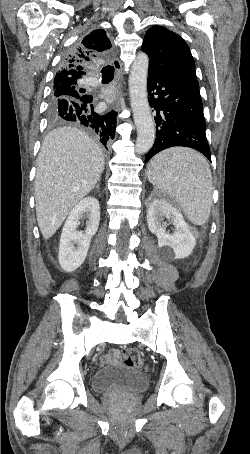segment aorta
<instances>
[{"mask_svg": "<svg viewBox=\"0 0 250 454\" xmlns=\"http://www.w3.org/2000/svg\"><path fill=\"white\" fill-rule=\"evenodd\" d=\"M149 58L139 53L134 60L129 76V94L134 123L137 129L135 151L148 152L155 141V124L151 116L147 93Z\"/></svg>", "mask_w": 250, "mask_h": 454, "instance_id": "aorta-1", "label": "aorta"}]
</instances>
